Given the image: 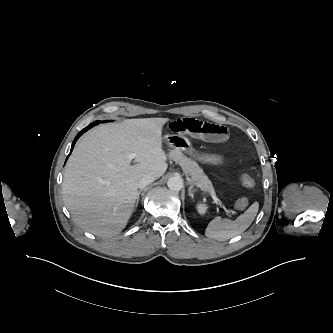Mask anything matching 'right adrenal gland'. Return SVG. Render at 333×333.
Listing matches in <instances>:
<instances>
[{
  "mask_svg": "<svg viewBox=\"0 0 333 333\" xmlns=\"http://www.w3.org/2000/svg\"><path fill=\"white\" fill-rule=\"evenodd\" d=\"M141 192H142V190H140V191L138 192V194H137V199H136V205H135V207L138 206V203H139V196H140Z\"/></svg>",
  "mask_w": 333,
  "mask_h": 333,
  "instance_id": "obj_1",
  "label": "right adrenal gland"
}]
</instances>
